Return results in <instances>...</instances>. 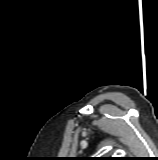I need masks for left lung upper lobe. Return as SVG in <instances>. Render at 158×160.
I'll return each mask as SVG.
<instances>
[{
    "mask_svg": "<svg viewBox=\"0 0 158 160\" xmlns=\"http://www.w3.org/2000/svg\"><path fill=\"white\" fill-rule=\"evenodd\" d=\"M96 160H118V159L113 157H100V158H97Z\"/></svg>",
    "mask_w": 158,
    "mask_h": 160,
    "instance_id": "left-lung-upper-lobe-1",
    "label": "left lung upper lobe"
}]
</instances>
